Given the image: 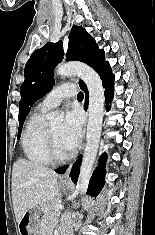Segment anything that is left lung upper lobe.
I'll list each match as a JSON object with an SVG mask.
<instances>
[{"mask_svg":"<svg viewBox=\"0 0 155 235\" xmlns=\"http://www.w3.org/2000/svg\"><path fill=\"white\" fill-rule=\"evenodd\" d=\"M63 45L48 42L45 46L34 51L27 61L24 69L25 80L21 85V100L19 102V129L22 131L23 123L31 106L42 98L54 85L53 70L63 58ZM104 50H100L93 37L83 27L74 25L69 34V44L66 53L67 61H81L91 66L96 72L105 67ZM80 87L85 83L79 81Z\"/></svg>","mask_w":155,"mask_h":235,"instance_id":"left-lung-upper-lobe-1","label":"left lung upper lobe"}]
</instances>
